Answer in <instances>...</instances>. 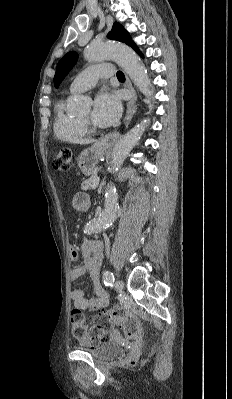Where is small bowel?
Here are the masks:
<instances>
[{"instance_id":"obj_1","label":"small bowel","mask_w":232,"mask_h":399,"mask_svg":"<svg viewBox=\"0 0 232 399\" xmlns=\"http://www.w3.org/2000/svg\"><path fill=\"white\" fill-rule=\"evenodd\" d=\"M90 197L87 193L77 192L72 197V207L76 210H83L89 206ZM104 240L102 237H94L87 240L81 248L73 246L69 247V258L72 261L78 260L80 257L84 259V263L71 271L69 283L76 284L85 272H88L91 279L92 289L95 293V299L89 301L86 299L79 289L70 291V299L73 301L74 307L78 309L98 310L106 307L108 304V293L99 282V269L102 265L103 255L102 248Z\"/></svg>"}]
</instances>
